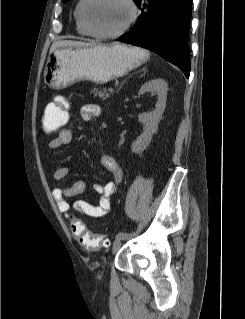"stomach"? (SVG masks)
<instances>
[{
  "label": "stomach",
  "mask_w": 245,
  "mask_h": 319,
  "mask_svg": "<svg viewBox=\"0 0 245 319\" xmlns=\"http://www.w3.org/2000/svg\"><path fill=\"white\" fill-rule=\"evenodd\" d=\"M147 57L143 49L118 43L59 47L49 55L44 82L57 90L81 80L105 83L140 66Z\"/></svg>",
  "instance_id": "stomach-1"
}]
</instances>
